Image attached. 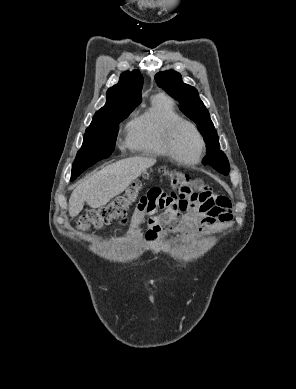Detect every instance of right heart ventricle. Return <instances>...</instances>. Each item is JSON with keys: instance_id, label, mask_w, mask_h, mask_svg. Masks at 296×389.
<instances>
[{"instance_id": "e07e8e85", "label": "right heart ventricle", "mask_w": 296, "mask_h": 389, "mask_svg": "<svg viewBox=\"0 0 296 389\" xmlns=\"http://www.w3.org/2000/svg\"><path fill=\"white\" fill-rule=\"evenodd\" d=\"M178 118L181 117L173 99L163 93L155 95L151 106L128 122L127 146L144 155L167 157L164 133L167 125Z\"/></svg>"}]
</instances>
